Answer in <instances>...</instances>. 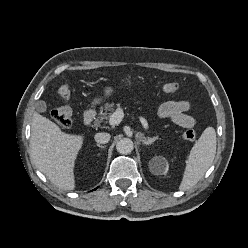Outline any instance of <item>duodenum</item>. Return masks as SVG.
<instances>
[{"label":"duodenum","instance_id":"duodenum-1","mask_svg":"<svg viewBox=\"0 0 248 248\" xmlns=\"http://www.w3.org/2000/svg\"><path fill=\"white\" fill-rule=\"evenodd\" d=\"M96 111L95 109H88L85 113H84V117H83V124L85 126H89L91 125L95 120H96Z\"/></svg>","mask_w":248,"mask_h":248}]
</instances>
